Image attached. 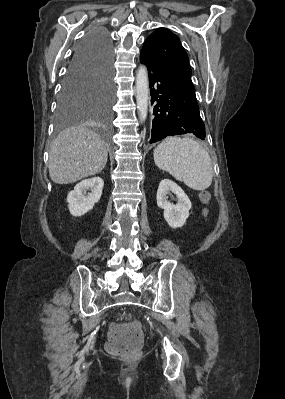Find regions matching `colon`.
Masks as SVG:
<instances>
[{"instance_id":"5ec220e1","label":"colon","mask_w":285,"mask_h":399,"mask_svg":"<svg viewBox=\"0 0 285 399\" xmlns=\"http://www.w3.org/2000/svg\"><path fill=\"white\" fill-rule=\"evenodd\" d=\"M143 338V330L138 322L115 324L109 332L107 349L117 355L131 356L139 351Z\"/></svg>"}]
</instances>
